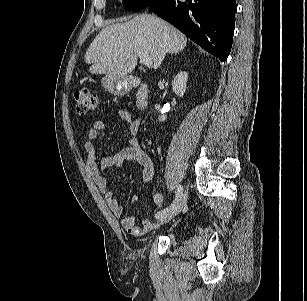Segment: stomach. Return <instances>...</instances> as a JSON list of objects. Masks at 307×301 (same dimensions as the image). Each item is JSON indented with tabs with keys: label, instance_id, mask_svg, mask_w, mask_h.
<instances>
[{
	"label": "stomach",
	"instance_id": "0dacf381",
	"mask_svg": "<svg viewBox=\"0 0 307 301\" xmlns=\"http://www.w3.org/2000/svg\"><path fill=\"white\" fill-rule=\"evenodd\" d=\"M103 88L114 95H124L130 90L129 78L126 76L106 75L102 78Z\"/></svg>",
	"mask_w": 307,
	"mask_h": 301
}]
</instances>
